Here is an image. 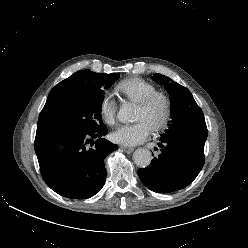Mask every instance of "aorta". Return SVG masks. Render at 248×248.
<instances>
[{"mask_svg": "<svg viewBox=\"0 0 248 248\" xmlns=\"http://www.w3.org/2000/svg\"><path fill=\"white\" fill-rule=\"evenodd\" d=\"M119 121L122 123L133 122L134 119V108L130 104H124L117 114ZM133 160L136 166L145 168L150 165L152 161V154L147 149L139 148L135 150L133 154Z\"/></svg>", "mask_w": 248, "mask_h": 248, "instance_id": "762f6f07", "label": "aorta"}]
</instances>
